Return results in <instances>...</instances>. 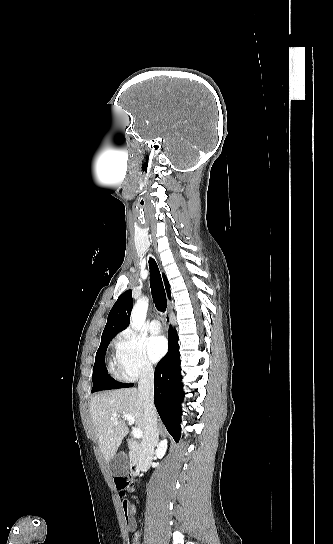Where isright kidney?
I'll return each mask as SVG.
<instances>
[{
    "mask_svg": "<svg viewBox=\"0 0 333 544\" xmlns=\"http://www.w3.org/2000/svg\"><path fill=\"white\" fill-rule=\"evenodd\" d=\"M167 443H168V442H167L166 439H163V440L159 443L158 448H157V450H156V456H157L158 458L161 459V458L165 455L166 450H167Z\"/></svg>",
    "mask_w": 333,
    "mask_h": 544,
    "instance_id": "ca27d5eb",
    "label": "right kidney"
}]
</instances>
